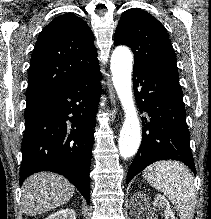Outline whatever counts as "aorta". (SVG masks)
I'll list each match as a JSON object with an SVG mask.
<instances>
[{
  "instance_id": "obj_1",
  "label": "aorta",
  "mask_w": 211,
  "mask_h": 219,
  "mask_svg": "<svg viewBox=\"0 0 211 219\" xmlns=\"http://www.w3.org/2000/svg\"><path fill=\"white\" fill-rule=\"evenodd\" d=\"M133 56L124 46L117 47L111 56L112 81L125 112L120 131L119 152L124 158L136 154L141 142V128L133 101L131 72Z\"/></svg>"
}]
</instances>
